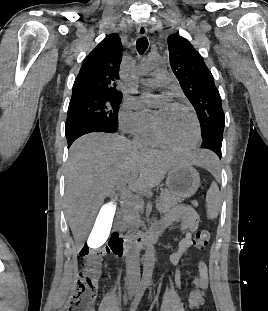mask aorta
Listing matches in <instances>:
<instances>
[{
	"instance_id": "1",
	"label": "aorta",
	"mask_w": 268,
	"mask_h": 311,
	"mask_svg": "<svg viewBox=\"0 0 268 311\" xmlns=\"http://www.w3.org/2000/svg\"><path fill=\"white\" fill-rule=\"evenodd\" d=\"M161 64L159 56H148L139 64V71L142 73H150ZM155 265V249L153 243H149L146 247L143 272L146 277H150Z\"/></svg>"
}]
</instances>
